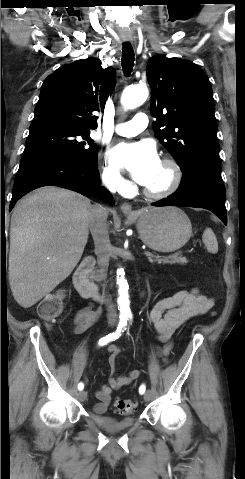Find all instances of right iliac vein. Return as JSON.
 Masks as SVG:
<instances>
[{"instance_id":"1","label":"right iliac vein","mask_w":245,"mask_h":479,"mask_svg":"<svg viewBox=\"0 0 245 479\" xmlns=\"http://www.w3.org/2000/svg\"><path fill=\"white\" fill-rule=\"evenodd\" d=\"M77 396H78V399H79L80 401H84V400L86 399V397H87V394H86L85 391H80V392L77 394Z\"/></svg>"}]
</instances>
